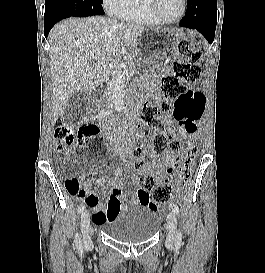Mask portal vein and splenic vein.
Wrapping results in <instances>:
<instances>
[{"mask_svg":"<svg viewBox=\"0 0 265 273\" xmlns=\"http://www.w3.org/2000/svg\"><path fill=\"white\" fill-rule=\"evenodd\" d=\"M100 57V54H97L96 56H95V58H99Z\"/></svg>","mask_w":265,"mask_h":273,"instance_id":"obj_1","label":"portal vein and splenic vein"}]
</instances>
